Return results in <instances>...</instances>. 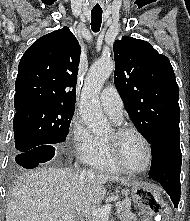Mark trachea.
<instances>
[{"label":"trachea","mask_w":190,"mask_h":221,"mask_svg":"<svg viewBox=\"0 0 190 221\" xmlns=\"http://www.w3.org/2000/svg\"><path fill=\"white\" fill-rule=\"evenodd\" d=\"M91 16V28L93 32L97 33L102 23V10H92Z\"/></svg>","instance_id":"3493384b"}]
</instances>
